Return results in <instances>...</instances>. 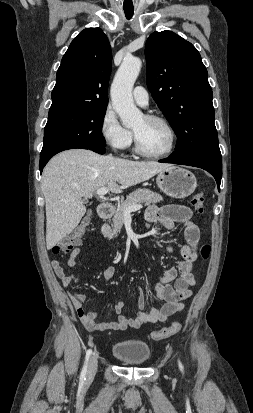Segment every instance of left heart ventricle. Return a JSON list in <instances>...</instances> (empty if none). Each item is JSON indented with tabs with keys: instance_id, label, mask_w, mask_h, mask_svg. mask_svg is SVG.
Masks as SVG:
<instances>
[{
	"instance_id": "1",
	"label": "left heart ventricle",
	"mask_w": 253,
	"mask_h": 413,
	"mask_svg": "<svg viewBox=\"0 0 253 413\" xmlns=\"http://www.w3.org/2000/svg\"><path fill=\"white\" fill-rule=\"evenodd\" d=\"M142 148L151 153L164 151L170 142L167 129L160 123L148 121L144 117L133 127Z\"/></svg>"
}]
</instances>
